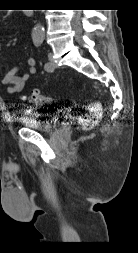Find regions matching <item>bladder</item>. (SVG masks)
<instances>
[{"label": "bladder", "instance_id": "1", "mask_svg": "<svg viewBox=\"0 0 138 253\" xmlns=\"http://www.w3.org/2000/svg\"><path fill=\"white\" fill-rule=\"evenodd\" d=\"M21 124L28 129L52 133L60 127V120L55 115H42L29 111L21 118Z\"/></svg>", "mask_w": 138, "mask_h": 253}]
</instances>
